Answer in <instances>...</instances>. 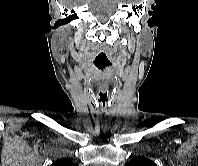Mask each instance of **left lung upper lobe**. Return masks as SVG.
I'll list each match as a JSON object with an SVG mask.
<instances>
[{"label":"left lung upper lobe","instance_id":"left-lung-upper-lobe-1","mask_svg":"<svg viewBox=\"0 0 198 166\" xmlns=\"http://www.w3.org/2000/svg\"><path fill=\"white\" fill-rule=\"evenodd\" d=\"M125 166H156V164L143 157H136L128 162Z\"/></svg>","mask_w":198,"mask_h":166}]
</instances>
